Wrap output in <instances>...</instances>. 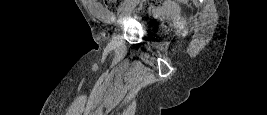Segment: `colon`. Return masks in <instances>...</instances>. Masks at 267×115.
Masks as SVG:
<instances>
[{"mask_svg": "<svg viewBox=\"0 0 267 115\" xmlns=\"http://www.w3.org/2000/svg\"><path fill=\"white\" fill-rule=\"evenodd\" d=\"M105 7L111 12H117L120 10L124 3V0H104ZM161 5V0H142L137 15L141 18H146L149 15V11L152 8Z\"/></svg>", "mask_w": 267, "mask_h": 115, "instance_id": "colon-1", "label": "colon"}]
</instances>
